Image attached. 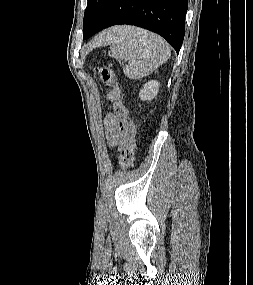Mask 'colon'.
I'll list each match as a JSON object with an SVG mask.
<instances>
[{
  "instance_id": "1",
  "label": "colon",
  "mask_w": 253,
  "mask_h": 285,
  "mask_svg": "<svg viewBox=\"0 0 253 285\" xmlns=\"http://www.w3.org/2000/svg\"><path fill=\"white\" fill-rule=\"evenodd\" d=\"M95 74L103 80L105 83L110 85L114 91L118 94L117 99L114 101V111L116 116L127 123V142L121 151L120 165L123 169L132 167L135 159V137L137 128L135 123L129 118V110L121 100L122 92L117 82L115 73L108 67H95Z\"/></svg>"
}]
</instances>
